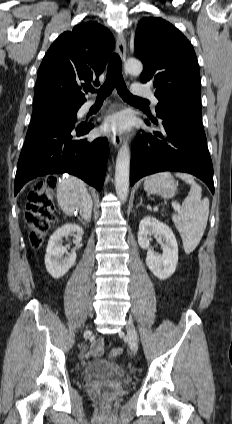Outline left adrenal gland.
Segmentation results:
<instances>
[{"label": "left adrenal gland", "instance_id": "1", "mask_svg": "<svg viewBox=\"0 0 232 424\" xmlns=\"http://www.w3.org/2000/svg\"><path fill=\"white\" fill-rule=\"evenodd\" d=\"M140 206H144V205L142 204V197L140 198V202H139V204L137 205V208H138V207H140Z\"/></svg>", "mask_w": 232, "mask_h": 424}]
</instances>
